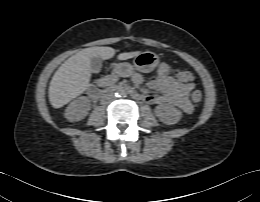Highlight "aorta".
I'll list each match as a JSON object with an SVG mask.
<instances>
[{
    "label": "aorta",
    "mask_w": 260,
    "mask_h": 202,
    "mask_svg": "<svg viewBox=\"0 0 260 202\" xmlns=\"http://www.w3.org/2000/svg\"><path fill=\"white\" fill-rule=\"evenodd\" d=\"M118 96L119 97H122V96H126V93H125V91H120L119 93H118Z\"/></svg>",
    "instance_id": "aorta-1"
}]
</instances>
